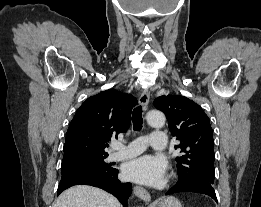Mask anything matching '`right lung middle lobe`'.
<instances>
[{
  "label": "right lung middle lobe",
  "instance_id": "obj_1",
  "mask_svg": "<svg viewBox=\"0 0 261 207\" xmlns=\"http://www.w3.org/2000/svg\"><path fill=\"white\" fill-rule=\"evenodd\" d=\"M105 156H85L78 157L70 160L62 161L61 173L66 174L70 172L80 171V170H99L106 169L111 164L105 163Z\"/></svg>",
  "mask_w": 261,
  "mask_h": 207
}]
</instances>
